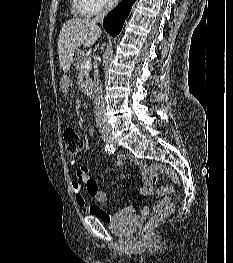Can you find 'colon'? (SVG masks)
I'll return each instance as SVG.
<instances>
[{
	"label": "colon",
	"instance_id": "colon-1",
	"mask_svg": "<svg viewBox=\"0 0 233 263\" xmlns=\"http://www.w3.org/2000/svg\"><path fill=\"white\" fill-rule=\"evenodd\" d=\"M64 141H65V150L67 154L72 158L77 157L83 148V142L74 128L69 127L65 129ZM151 171H152L153 184L157 182V172L165 173L172 179L177 180L176 174L170 168L164 165H159V164L154 165L152 166ZM173 210H174V205L171 203L167 204L162 209H160L155 214V216L145 224L143 228V234L144 235L148 234L156 223L165 220L172 213Z\"/></svg>",
	"mask_w": 233,
	"mask_h": 263
}]
</instances>
